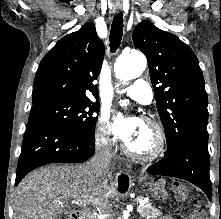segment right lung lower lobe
Segmentation results:
<instances>
[{
  "instance_id": "right-lung-lower-lobe-1",
  "label": "right lung lower lobe",
  "mask_w": 221,
  "mask_h": 219,
  "mask_svg": "<svg viewBox=\"0 0 221 219\" xmlns=\"http://www.w3.org/2000/svg\"><path fill=\"white\" fill-rule=\"evenodd\" d=\"M94 148V139L45 121L30 120L23 137L15 185L37 167L56 162H84L94 154Z\"/></svg>"
}]
</instances>
